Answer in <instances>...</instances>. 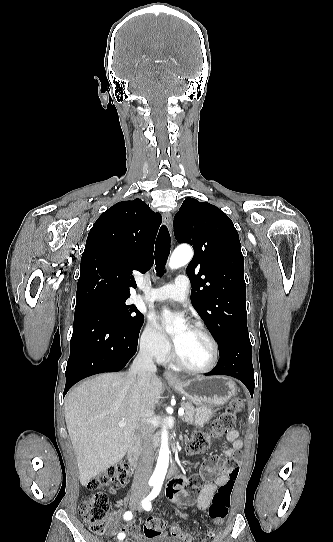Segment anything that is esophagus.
I'll use <instances>...</instances> for the list:
<instances>
[{
    "instance_id": "esophagus-1",
    "label": "esophagus",
    "mask_w": 333,
    "mask_h": 542,
    "mask_svg": "<svg viewBox=\"0 0 333 542\" xmlns=\"http://www.w3.org/2000/svg\"><path fill=\"white\" fill-rule=\"evenodd\" d=\"M163 219H164V222L165 224L167 225V227L169 229H171V226H172V215L170 212H165L163 214ZM164 377L165 379L169 382V383H173V382H178L179 381V378L177 377L176 374H174L171 370H166L164 372Z\"/></svg>"
}]
</instances>
